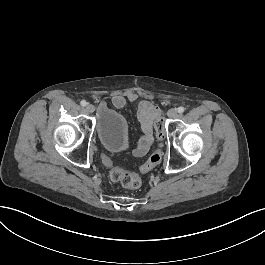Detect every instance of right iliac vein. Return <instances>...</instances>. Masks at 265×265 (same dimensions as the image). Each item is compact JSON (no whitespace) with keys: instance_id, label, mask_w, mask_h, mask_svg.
Listing matches in <instances>:
<instances>
[{"instance_id":"1","label":"right iliac vein","mask_w":265,"mask_h":265,"mask_svg":"<svg viewBox=\"0 0 265 265\" xmlns=\"http://www.w3.org/2000/svg\"><path fill=\"white\" fill-rule=\"evenodd\" d=\"M85 109L88 113H93L95 111V107L93 104H87Z\"/></svg>"}]
</instances>
